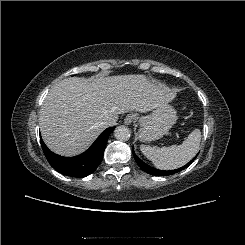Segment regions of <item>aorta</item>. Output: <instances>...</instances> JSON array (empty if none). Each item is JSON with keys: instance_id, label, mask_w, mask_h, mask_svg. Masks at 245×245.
<instances>
[{"instance_id": "1", "label": "aorta", "mask_w": 245, "mask_h": 245, "mask_svg": "<svg viewBox=\"0 0 245 245\" xmlns=\"http://www.w3.org/2000/svg\"><path fill=\"white\" fill-rule=\"evenodd\" d=\"M114 136L117 140L127 141L130 138V130L126 126H118L114 130Z\"/></svg>"}]
</instances>
